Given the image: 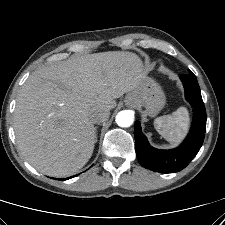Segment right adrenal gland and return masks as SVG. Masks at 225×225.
Masks as SVG:
<instances>
[{
	"label": "right adrenal gland",
	"mask_w": 225,
	"mask_h": 225,
	"mask_svg": "<svg viewBox=\"0 0 225 225\" xmlns=\"http://www.w3.org/2000/svg\"><path fill=\"white\" fill-rule=\"evenodd\" d=\"M95 142H97V128H96V139H95Z\"/></svg>",
	"instance_id": "obj_1"
}]
</instances>
